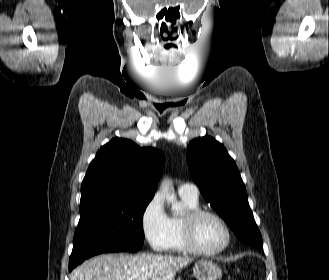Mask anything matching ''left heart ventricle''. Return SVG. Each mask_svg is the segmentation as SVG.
I'll list each match as a JSON object with an SVG mask.
<instances>
[{
	"mask_svg": "<svg viewBox=\"0 0 329 280\" xmlns=\"http://www.w3.org/2000/svg\"><path fill=\"white\" fill-rule=\"evenodd\" d=\"M196 240L202 249L213 251L224 244L226 234L224 228L216 219L204 216L197 222Z\"/></svg>",
	"mask_w": 329,
	"mask_h": 280,
	"instance_id": "b2bd125f",
	"label": "left heart ventricle"
}]
</instances>
